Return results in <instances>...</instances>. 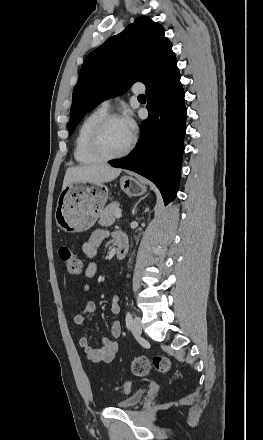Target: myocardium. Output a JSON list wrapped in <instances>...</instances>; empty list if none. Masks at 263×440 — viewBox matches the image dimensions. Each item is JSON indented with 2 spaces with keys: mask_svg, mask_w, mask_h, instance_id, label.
I'll return each mask as SVG.
<instances>
[{
  "mask_svg": "<svg viewBox=\"0 0 263 440\" xmlns=\"http://www.w3.org/2000/svg\"><path fill=\"white\" fill-rule=\"evenodd\" d=\"M123 118L114 113H107L100 118L93 126L89 136V149L93 155L103 161L114 160L126 156L134 147L136 143V137L131 133L128 144L117 153H108L102 144V134L106 126L113 121H120Z\"/></svg>",
  "mask_w": 263,
  "mask_h": 440,
  "instance_id": "f54148a6",
  "label": "myocardium"
}]
</instances>
